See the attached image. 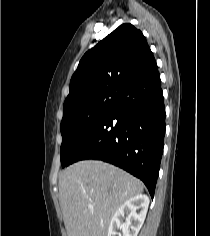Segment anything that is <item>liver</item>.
Instances as JSON below:
<instances>
[{
    "label": "liver",
    "mask_w": 210,
    "mask_h": 236,
    "mask_svg": "<svg viewBox=\"0 0 210 236\" xmlns=\"http://www.w3.org/2000/svg\"><path fill=\"white\" fill-rule=\"evenodd\" d=\"M143 192L141 181L102 161L74 163L59 176V200L68 236H107L114 213Z\"/></svg>",
    "instance_id": "1"
}]
</instances>
